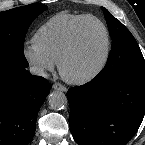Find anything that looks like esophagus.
Masks as SVG:
<instances>
[{"label": "esophagus", "instance_id": "1", "mask_svg": "<svg viewBox=\"0 0 145 145\" xmlns=\"http://www.w3.org/2000/svg\"><path fill=\"white\" fill-rule=\"evenodd\" d=\"M52 88L54 90H58V91H62V92H66L67 91V88L64 85H62L61 83H54Z\"/></svg>", "mask_w": 145, "mask_h": 145}]
</instances>
